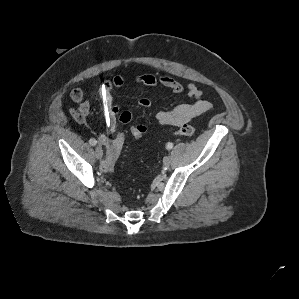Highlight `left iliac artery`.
I'll return each mask as SVG.
<instances>
[{"mask_svg":"<svg viewBox=\"0 0 299 299\" xmlns=\"http://www.w3.org/2000/svg\"><path fill=\"white\" fill-rule=\"evenodd\" d=\"M172 147H173V144L172 143H167L166 144V148L168 149V150H170V149H172Z\"/></svg>","mask_w":299,"mask_h":299,"instance_id":"1","label":"left iliac artery"}]
</instances>
